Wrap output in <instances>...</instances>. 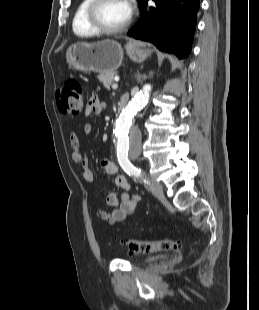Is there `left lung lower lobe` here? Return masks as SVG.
<instances>
[{
	"label": "left lung lower lobe",
	"instance_id": "1",
	"mask_svg": "<svg viewBox=\"0 0 259 310\" xmlns=\"http://www.w3.org/2000/svg\"><path fill=\"white\" fill-rule=\"evenodd\" d=\"M147 1L139 3L142 16L128 35L150 41L179 59L187 57L196 29L199 0H153L156 6L146 10Z\"/></svg>",
	"mask_w": 259,
	"mask_h": 310
}]
</instances>
